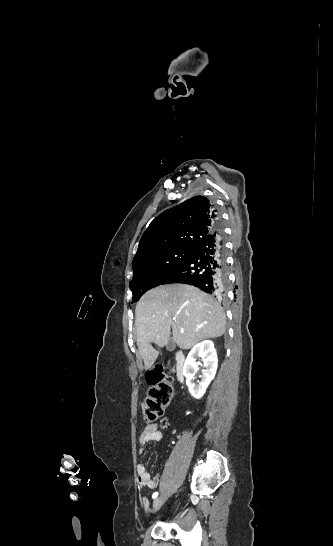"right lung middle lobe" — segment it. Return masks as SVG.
Instances as JSON below:
<instances>
[{
	"mask_svg": "<svg viewBox=\"0 0 333 546\" xmlns=\"http://www.w3.org/2000/svg\"><path fill=\"white\" fill-rule=\"evenodd\" d=\"M193 247L172 248L154 255L133 267V280L130 288L133 292L132 303L137 301L147 290L157 286L191 254Z\"/></svg>",
	"mask_w": 333,
	"mask_h": 546,
	"instance_id": "right-lung-middle-lobe-1",
	"label": "right lung middle lobe"
}]
</instances>
